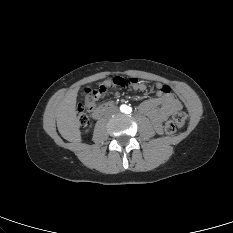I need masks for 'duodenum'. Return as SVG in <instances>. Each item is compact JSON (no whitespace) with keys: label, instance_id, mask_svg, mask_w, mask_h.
Masks as SVG:
<instances>
[{"label":"duodenum","instance_id":"1","mask_svg":"<svg viewBox=\"0 0 233 233\" xmlns=\"http://www.w3.org/2000/svg\"><path fill=\"white\" fill-rule=\"evenodd\" d=\"M114 106L113 102L105 103L98 108L94 109L92 112V116L95 119H98L102 117L109 109H111Z\"/></svg>","mask_w":233,"mask_h":233}]
</instances>
